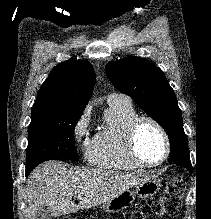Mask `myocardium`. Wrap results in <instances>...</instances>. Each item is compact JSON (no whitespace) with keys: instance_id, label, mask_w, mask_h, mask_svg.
I'll list each match as a JSON object with an SVG mask.
<instances>
[{"instance_id":"obj_1","label":"myocardium","mask_w":211,"mask_h":219,"mask_svg":"<svg viewBox=\"0 0 211 219\" xmlns=\"http://www.w3.org/2000/svg\"><path fill=\"white\" fill-rule=\"evenodd\" d=\"M143 122H149L154 125L161 133L164 140V155L157 163H147L143 161L137 150V131ZM126 148L130 158L142 168H158L164 165L171 152V144L167 131L162 124L155 118L147 115L136 116L128 125L126 130Z\"/></svg>"}]
</instances>
